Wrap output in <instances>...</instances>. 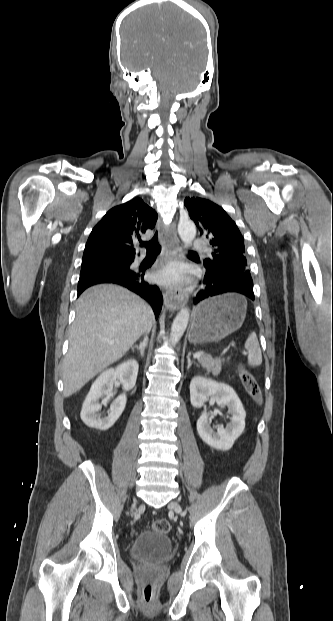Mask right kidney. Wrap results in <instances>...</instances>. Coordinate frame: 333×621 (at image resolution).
I'll use <instances>...</instances> for the list:
<instances>
[{
    "label": "right kidney",
    "instance_id": "right-kidney-1",
    "mask_svg": "<svg viewBox=\"0 0 333 621\" xmlns=\"http://www.w3.org/2000/svg\"><path fill=\"white\" fill-rule=\"evenodd\" d=\"M138 369V362L130 359L100 374L92 384L80 413L82 421L88 427L105 431L114 425L125 408L126 395L121 394L114 400L107 416H101L98 413L101 408L99 400L111 392L116 379L122 384L124 390H131L135 386Z\"/></svg>",
    "mask_w": 333,
    "mask_h": 621
}]
</instances>
